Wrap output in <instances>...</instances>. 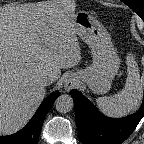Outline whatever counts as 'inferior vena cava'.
Wrapping results in <instances>:
<instances>
[{
	"label": "inferior vena cava",
	"mask_w": 144,
	"mask_h": 144,
	"mask_svg": "<svg viewBox=\"0 0 144 144\" xmlns=\"http://www.w3.org/2000/svg\"><path fill=\"white\" fill-rule=\"evenodd\" d=\"M55 81V78L51 75H45L41 80L40 84L42 86H48L51 85Z\"/></svg>",
	"instance_id": "1"
}]
</instances>
